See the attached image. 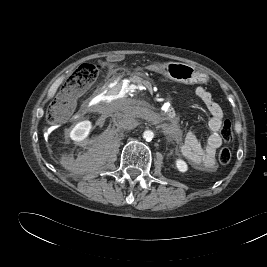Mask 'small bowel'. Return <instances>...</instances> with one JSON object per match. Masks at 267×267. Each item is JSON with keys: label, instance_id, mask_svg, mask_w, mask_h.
Masks as SVG:
<instances>
[{"label": "small bowel", "instance_id": "1", "mask_svg": "<svg viewBox=\"0 0 267 267\" xmlns=\"http://www.w3.org/2000/svg\"><path fill=\"white\" fill-rule=\"evenodd\" d=\"M194 93L210 114L208 126L211 134L206 142L202 143L194 132L187 133L181 153L193 166L204 170H214L215 154L222 145L219 131L223 123V111L211 93L203 86L196 87Z\"/></svg>", "mask_w": 267, "mask_h": 267}]
</instances>
